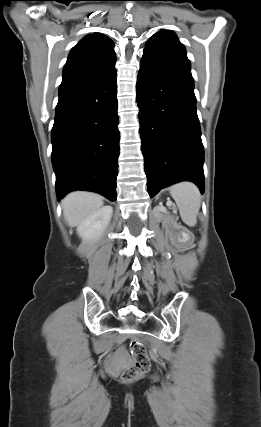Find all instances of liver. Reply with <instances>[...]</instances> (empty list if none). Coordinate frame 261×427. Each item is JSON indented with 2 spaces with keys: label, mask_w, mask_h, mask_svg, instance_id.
I'll return each instance as SVG.
<instances>
[{
  "label": "liver",
  "mask_w": 261,
  "mask_h": 427,
  "mask_svg": "<svg viewBox=\"0 0 261 427\" xmlns=\"http://www.w3.org/2000/svg\"><path fill=\"white\" fill-rule=\"evenodd\" d=\"M69 226H79L87 217L103 206V198L95 193L76 191L69 193L61 202Z\"/></svg>",
  "instance_id": "6515ba94"
}]
</instances>
